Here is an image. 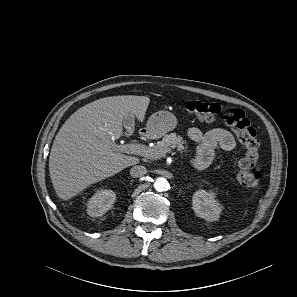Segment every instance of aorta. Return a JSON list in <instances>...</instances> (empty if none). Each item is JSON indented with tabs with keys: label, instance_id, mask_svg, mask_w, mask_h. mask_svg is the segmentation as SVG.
Here are the masks:
<instances>
[{
	"label": "aorta",
	"instance_id": "aorta-1",
	"mask_svg": "<svg viewBox=\"0 0 297 297\" xmlns=\"http://www.w3.org/2000/svg\"><path fill=\"white\" fill-rule=\"evenodd\" d=\"M168 185V181L163 177H158L154 182V188L158 192L166 191L168 189Z\"/></svg>",
	"mask_w": 297,
	"mask_h": 297
}]
</instances>
